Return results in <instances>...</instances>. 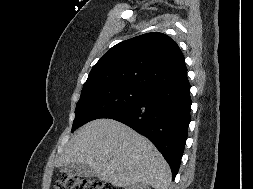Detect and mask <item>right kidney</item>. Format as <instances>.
I'll return each mask as SVG.
<instances>
[{"instance_id":"ca27d5eb","label":"right kidney","mask_w":253,"mask_h":189,"mask_svg":"<svg viewBox=\"0 0 253 189\" xmlns=\"http://www.w3.org/2000/svg\"><path fill=\"white\" fill-rule=\"evenodd\" d=\"M125 189H150V188L145 184H134Z\"/></svg>"}]
</instances>
